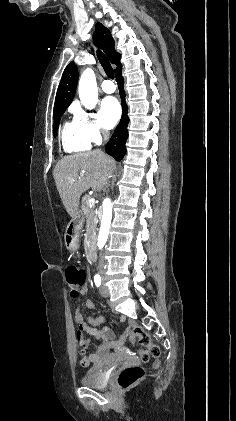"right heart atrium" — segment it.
<instances>
[{
	"label": "right heart atrium",
	"instance_id": "d8ad5b80",
	"mask_svg": "<svg viewBox=\"0 0 236 421\" xmlns=\"http://www.w3.org/2000/svg\"><path fill=\"white\" fill-rule=\"evenodd\" d=\"M74 121L78 124L91 143L100 142L106 135L98 114L77 107L74 109Z\"/></svg>",
	"mask_w": 236,
	"mask_h": 421
}]
</instances>
